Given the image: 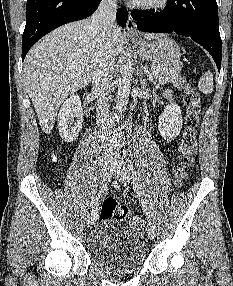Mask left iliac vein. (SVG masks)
<instances>
[{
	"label": "left iliac vein",
	"instance_id": "1",
	"mask_svg": "<svg viewBox=\"0 0 233 286\" xmlns=\"http://www.w3.org/2000/svg\"><path fill=\"white\" fill-rule=\"evenodd\" d=\"M111 173L121 183L127 184L130 180V171L121 160L112 167ZM146 232L150 239L155 238V226L150 220L147 221Z\"/></svg>",
	"mask_w": 233,
	"mask_h": 286
}]
</instances>
